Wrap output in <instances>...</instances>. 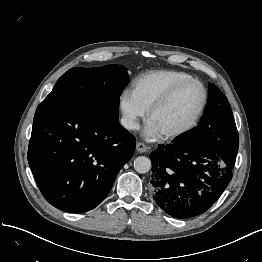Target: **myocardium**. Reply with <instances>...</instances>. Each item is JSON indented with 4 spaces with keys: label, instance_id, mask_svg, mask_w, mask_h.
I'll list each match as a JSON object with an SVG mask.
<instances>
[{
    "label": "myocardium",
    "instance_id": "obj_1",
    "mask_svg": "<svg viewBox=\"0 0 262 262\" xmlns=\"http://www.w3.org/2000/svg\"><path fill=\"white\" fill-rule=\"evenodd\" d=\"M191 84L198 85L202 90V99H201L200 105L196 113L192 117V119L184 127L174 132L163 134L162 136L165 140H175V139L181 138L185 136L186 134H188L189 132H191L196 127V125L198 124L199 120L201 119L203 115V112L207 104L208 92H207L206 87L204 86L203 83L193 78L184 80L174 85L157 102H155L148 110V119L151 120L153 115L156 112H158L159 110H161L162 108H164L182 88L188 85H191Z\"/></svg>",
    "mask_w": 262,
    "mask_h": 262
}]
</instances>
